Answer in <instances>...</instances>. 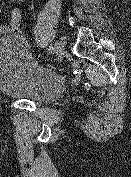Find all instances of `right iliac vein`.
Here are the masks:
<instances>
[{
  "label": "right iliac vein",
  "instance_id": "obj_1",
  "mask_svg": "<svg viewBox=\"0 0 131 177\" xmlns=\"http://www.w3.org/2000/svg\"><path fill=\"white\" fill-rule=\"evenodd\" d=\"M64 46L61 42L56 41L55 42V51L56 52H61L63 50Z\"/></svg>",
  "mask_w": 131,
  "mask_h": 177
}]
</instances>
